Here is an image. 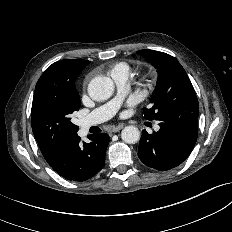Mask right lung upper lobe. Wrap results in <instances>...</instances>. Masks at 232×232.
I'll return each mask as SVG.
<instances>
[{
  "label": "right lung upper lobe",
  "instance_id": "1",
  "mask_svg": "<svg viewBox=\"0 0 232 232\" xmlns=\"http://www.w3.org/2000/svg\"><path fill=\"white\" fill-rule=\"evenodd\" d=\"M89 63H90V61H87V60H71V59L62 60V61H58V62H55L54 64L50 65L45 70V73L64 72V71H68V70L76 68V67L86 66ZM60 147H61V145H59L56 148H53L51 150L41 149V152H42L44 158L46 159V161L48 162V164H51L54 161L56 154H57Z\"/></svg>",
  "mask_w": 232,
  "mask_h": 232
}]
</instances>
